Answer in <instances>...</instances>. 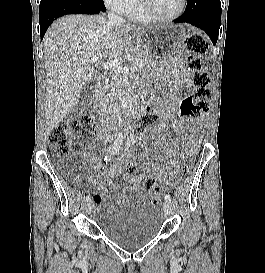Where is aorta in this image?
<instances>
[{
  "label": "aorta",
  "instance_id": "aorta-1",
  "mask_svg": "<svg viewBox=\"0 0 265 273\" xmlns=\"http://www.w3.org/2000/svg\"><path fill=\"white\" fill-rule=\"evenodd\" d=\"M113 113L118 122H121L123 120L120 92L115 93L113 96Z\"/></svg>",
  "mask_w": 265,
  "mask_h": 273
}]
</instances>
